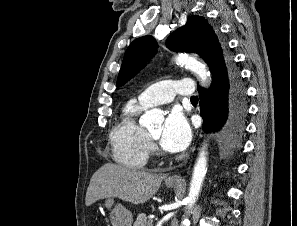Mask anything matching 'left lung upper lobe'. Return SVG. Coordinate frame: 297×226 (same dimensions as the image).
Masks as SVG:
<instances>
[{
    "label": "left lung upper lobe",
    "instance_id": "5c2ea615",
    "mask_svg": "<svg viewBox=\"0 0 297 226\" xmlns=\"http://www.w3.org/2000/svg\"><path fill=\"white\" fill-rule=\"evenodd\" d=\"M166 46L172 51L199 54L208 64L212 77L227 69L230 61L223 53L212 26L196 15L188 17L187 23L169 36ZM157 47L155 39L149 35L134 40L125 52L117 86L135 76L151 59Z\"/></svg>",
    "mask_w": 297,
    "mask_h": 226
}]
</instances>
